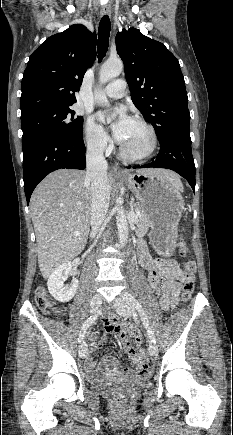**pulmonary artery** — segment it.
Listing matches in <instances>:
<instances>
[{"instance_id":"obj_1","label":"pulmonary artery","mask_w":233,"mask_h":435,"mask_svg":"<svg viewBox=\"0 0 233 435\" xmlns=\"http://www.w3.org/2000/svg\"><path fill=\"white\" fill-rule=\"evenodd\" d=\"M125 89L126 82L123 79H117L105 87L104 94L108 98L119 99L123 96Z\"/></svg>"}]
</instances>
